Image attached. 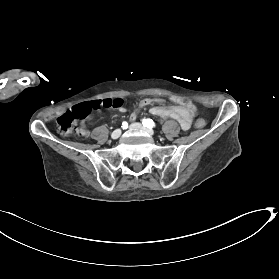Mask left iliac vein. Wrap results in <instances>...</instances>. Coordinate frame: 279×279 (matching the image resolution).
<instances>
[{"label": "left iliac vein", "instance_id": "1", "mask_svg": "<svg viewBox=\"0 0 279 279\" xmlns=\"http://www.w3.org/2000/svg\"><path fill=\"white\" fill-rule=\"evenodd\" d=\"M130 128L141 129V130L147 132L149 135H152V136L155 134L154 130H152L151 128L143 126L141 123H132L130 125Z\"/></svg>", "mask_w": 279, "mask_h": 279}]
</instances>
